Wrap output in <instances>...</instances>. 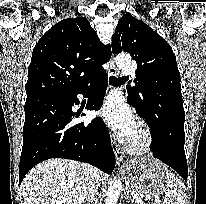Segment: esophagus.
Returning a JSON list of instances; mask_svg holds the SVG:
<instances>
[{
    "label": "esophagus",
    "instance_id": "34e87169",
    "mask_svg": "<svg viewBox=\"0 0 206 204\" xmlns=\"http://www.w3.org/2000/svg\"><path fill=\"white\" fill-rule=\"evenodd\" d=\"M117 73H118V70H117L115 63H114V57L112 56L110 59L109 74L111 76H115ZM111 143H112L113 151H114L115 156H116L117 164L120 165V163L123 162L124 155H123L122 150L120 149V147L116 143L114 135H111Z\"/></svg>",
    "mask_w": 206,
    "mask_h": 204
}]
</instances>
